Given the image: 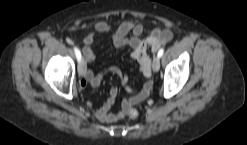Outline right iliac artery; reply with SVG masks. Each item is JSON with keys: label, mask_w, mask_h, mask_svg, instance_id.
I'll use <instances>...</instances> for the list:
<instances>
[{"label": "right iliac artery", "mask_w": 247, "mask_h": 145, "mask_svg": "<svg viewBox=\"0 0 247 145\" xmlns=\"http://www.w3.org/2000/svg\"><path fill=\"white\" fill-rule=\"evenodd\" d=\"M75 55L78 61L81 60V52L77 47H74Z\"/></svg>", "instance_id": "1"}]
</instances>
